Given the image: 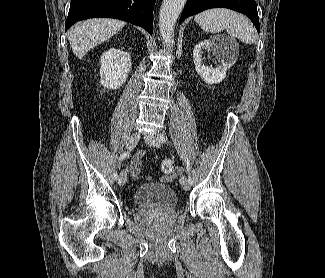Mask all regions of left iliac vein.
<instances>
[{
  "label": "left iliac vein",
  "mask_w": 325,
  "mask_h": 278,
  "mask_svg": "<svg viewBox=\"0 0 325 278\" xmlns=\"http://www.w3.org/2000/svg\"><path fill=\"white\" fill-rule=\"evenodd\" d=\"M145 142L153 147L156 148H160L161 147V143L159 142V140L157 139V137L155 135H147L145 136ZM180 184L182 186V188L184 190H189L190 189V184L188 182V179L186 178V176H182L180 179Z\"/></svg>",
  "instance_id": "4c4485c4"
}]
</instances>
